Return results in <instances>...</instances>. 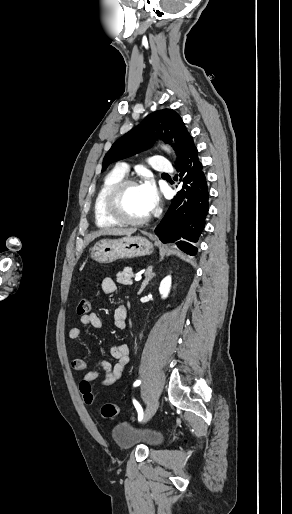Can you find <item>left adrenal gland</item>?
Listing matches in <instances>:
<instances>
[{
	"label": "left adrenal gland",
	"instance_id": "obj_1",
	"mask_svg": "<svg viewBox=\"0 0 292 514\" xmlns=\"http://www.w3.org/2000/svg\"><path fill=\"white\" fill-rule=\"evenodd\" d=\"M155 274H153L152 272V266H149V268H147L146 272H145V280L144 282H142V286L138 292V294H141V292H143L144 288H146L147 284H149L150 280H152V278H154Z\"/></svg>",
	"mask_w": 292,
	"mask_h": 514
}]
</instances>
